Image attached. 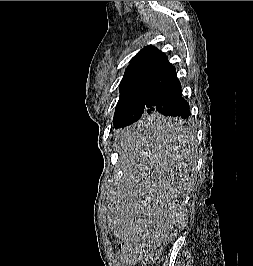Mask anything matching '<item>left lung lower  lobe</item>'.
<instances>
[{
    "instance_id": "1",
    "label": "left lung lower lobe",
    "mask_w": 253,
    "mask_h": 266,
    "mask_svg": "<svg viewBox=\"0 0 253 266\" xmlns=\"http://www.w3.org/2000/svg\"><path fill=\"white\" fill-rule=\"evenodd\" d=\"M144 114L151 115V117L140 121L138 123L139 126L162 136H174L182 132L180 118H188L190 116L189 104L182 97L176 69L168 62L166 56L161 62L148 90ZM160 114L176 118L163 120L157 117ZM120 127L125 126H115V128Z\"/></svg>"
}]
</instances>
